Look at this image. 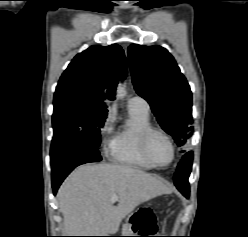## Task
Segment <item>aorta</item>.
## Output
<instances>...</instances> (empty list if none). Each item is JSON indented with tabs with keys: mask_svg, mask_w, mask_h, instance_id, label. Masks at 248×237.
Returning a JSON list of instances; mask_svg holds the SVG:
<instances>
[{
	"mask_svg": "<svg viewBox=\"0 0 248 237\" xmlns=\"http://www.w3.org/2000/svg\"><path fill=\"white\" fill-rule=\"evenodd\" d=\"M125 91V85L123 83H119L117 87L116 97L119 99L123 96Z\"/></svg>",
	"mask_w": 248,
	"mask_h": 237,
	"instance_id": "1",
	"label": "aorta"
}]
</instances>
